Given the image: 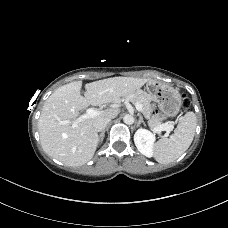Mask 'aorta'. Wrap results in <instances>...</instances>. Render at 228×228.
Instances as JSON below:
<instances>
[{"label": "aorta", "mask_w": 228, "mask_h": 228, "mask_svg": "<svg viewBox=\"0 0 228 228\" xmlns=\"http://www.w3.org/2000/svg\"><path fill=\"white\" fill-rule=\"evenodd\" d=\"M123 121L125 124L127 125H131L134 123V117L133 115L131 114H126L124 117H123Z\"/></svg>", "instance_id": "1"}]
</instances>
